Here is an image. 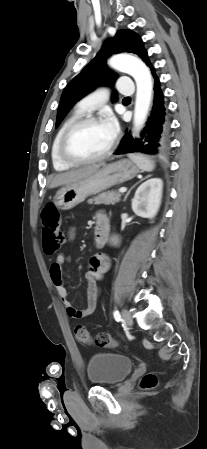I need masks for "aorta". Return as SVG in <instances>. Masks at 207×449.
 <instances>
[{"label":"aorta","mask_w":207,"mask_h":449,"mask_svg":"<svg viewBox=\"0 0 207 449\" xmlns=\"http://www.w3.org/2000/svg\"><path fill=\"white\" fill-rule=\"evenodd\" d=\"M110 67L131 75L137 86L134 109V126L140 129L147 117L153 91V82L148 67L138 58L119 54L109 60Z\"/></svg>","instance_id":"1"}]
</instances>
